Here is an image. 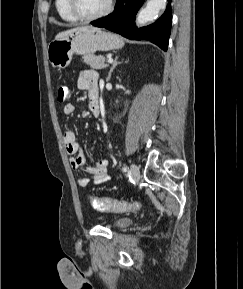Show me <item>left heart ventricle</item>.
<instances>
[{"label":"left heart ventricle","mask_w":243,"mask_h":289,"mask_svg":"<svg viewBox=\"0 0 243 289\" xmlns=\"http://www.w3.org/2000/svg\"><path fill=\"white\" fill-rule=\"evenodd\" d=\"M108 0H76L77 8L83 15H95L103 11Z\"/></svg>","instance_id":"b2bd125f"}]
</instances>
